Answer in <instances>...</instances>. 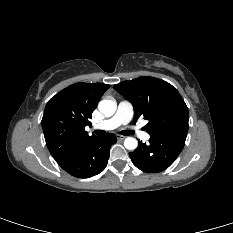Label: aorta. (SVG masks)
Segmentation results:
<instances>
[{
	"label": "aorta",
	"instance_id": "aorta-1",
	"mask_svg": "<svg viewBox=\"0 0 233 233\" xmlns=\"http://www.w3.org/2000/svg\"><path fill=\"white\" fill-rule=\"evenodd\" d=\"M99 111L106 117L112 116L117 109V103L115 100L105 99L98 104ZM124 146L128 150H135L138 146V141L133 137H127L124 140Z\"/></svg>",
	"mask_w": 233,
	"mask_h": 233
}]
</instances>
